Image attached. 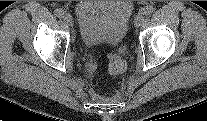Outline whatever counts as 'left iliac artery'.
<instances>
[{
  "mask_svg": "<svg viewBox=\"0 0 207 121\" xmlns=\"http://www.w3.org/2000/svg\"><path fill=\"white\" fill-rule=\"evenodd\" d=\"M141 11L145 16H149L154 11V8L153 6H146Z\"/></svg>",
  "mask_w": 207,
  "mask_h": 121,
  "instance_id": "obj_1",
  "label": "left iliac artery"
}]
</instances>
